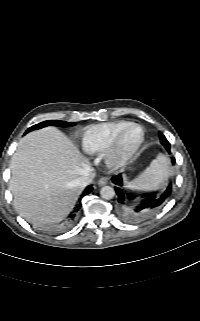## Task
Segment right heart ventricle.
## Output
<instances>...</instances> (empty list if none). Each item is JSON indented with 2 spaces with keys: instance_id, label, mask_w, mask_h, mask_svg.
I'll use <instances>...</instances> for the list:
<instances>
[{
  "instance_id": "obj_1",
  "label": "right heart ventricle",
  "mask_w": 200,
  "mask_h": 321,
  "mask_svg": "<svg viewBox=\"0 0 200 321\" xmlns=\"http://www.w3.org/2000/svg\"><path fill=\"white\" fill-rule=\"evenodd\" d=\"M130 123V121L118 120L88 127L81 137L82 149L89 155L105 152L117 134Z\"/></svg>"
}]
</instances>
